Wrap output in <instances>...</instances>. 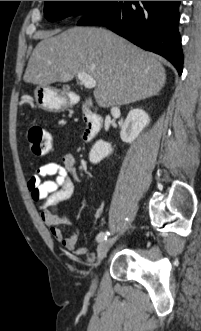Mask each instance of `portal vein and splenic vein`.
<instances>
[{
    "instance_id": "obj_1",
    "label": "portal vein and splenic vein",
    "mask_w": 201,
    "mask_h": 331,
    "mask_svg": "<svg viewBox=\"0 0 201 331\" xmlns=\"http://www.w3.org/2000/svg\"><path fill=\"white\" fill-rule=\"evenodd\" d=\"M77 78L80 80L83 86L88 89L94 88L97 84L95 79L85 72H79L77 74Z\"/></svg>"
}]
</instances>
